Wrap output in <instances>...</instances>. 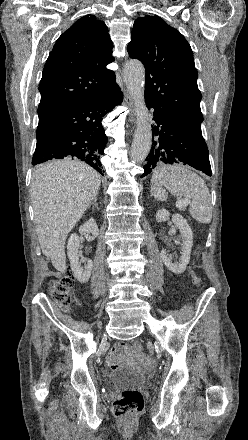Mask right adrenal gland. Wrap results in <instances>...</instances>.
<instances>
[{"instance_id":"obj_1","label":"right adrenal gland","mask_w":248,"mask_h":440,"mask_svg":"<svg viewBox=\"0 0 248 440\" xmlns=\"http://www.w3.org/2000/svg\"><path fill=\"white\" fill-rule=\"evenodd\" d=\"M97 196L98 195L96 194L95 197H94V201L91 203V205L95 206L96 209L99 210L98 203H97Z\"/></svg>"}]
</instances>
